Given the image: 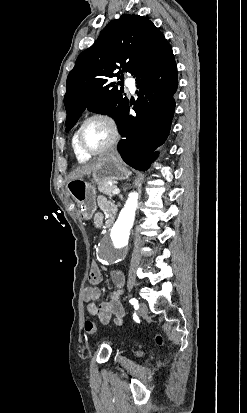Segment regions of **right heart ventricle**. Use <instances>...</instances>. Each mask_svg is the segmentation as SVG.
<instances>
[{"label": "right heart ventricle", "instance_id": "right-heart-ventricle-1", "mask_svg": "<svg viewBox=\"0 0 247 413\" xmlns=\"http://www.w3.org/2000/svg\"><path fill=\"white\" fill-rule=\"evenodd\" d=\"M72 147H73L75 156H76L77 160H78L80 163H85V162H87V161L90 159V157L82 154V153L79 151V149H78V147H77V144H76V132L74 133V135H73V137H72Z\"/></svg>", "mask_w": 247, "mask_h": 413}]
</instances>
